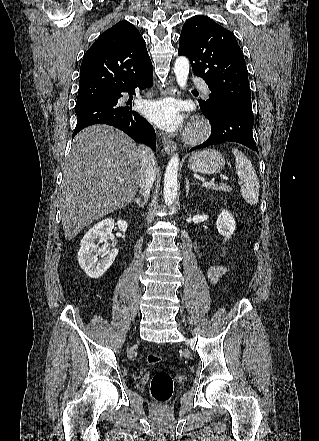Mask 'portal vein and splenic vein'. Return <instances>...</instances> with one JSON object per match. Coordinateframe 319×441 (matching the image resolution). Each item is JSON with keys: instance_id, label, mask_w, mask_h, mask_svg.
I'll return each instance as SVG.
<instances>
[{"instance_id": "18ae733b", "label": "portal vein and splenic vein", "mask_w": 319, "mask_h": 441, "mask_svg": "<svg viewBox=\"0 0 319 441\" xmlns=\"http://www.w3.org/2000/svg\"><path fill=\"white\" fill-rule=\"evenodd\" d=\"M118 181H119L120 183H123V182H124V179L119 178ZM213 184H214V180H211V181H209V182H205V183H203L202 186H203V187H210V186H212ZM238 184H241V183L238 182Z\"/></svg>"}]
</instances>
